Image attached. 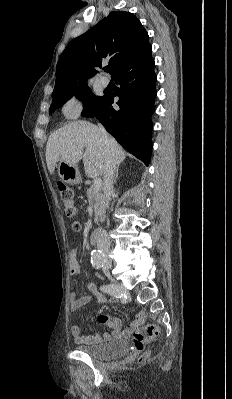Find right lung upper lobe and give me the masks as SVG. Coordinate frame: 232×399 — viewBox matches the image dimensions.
Listing matches in <instances>:
<instances>
[{
	"instance_id": "right-lung-upper-lobe-1",
	"label": "right lung upper lobe",
	"mask_w": 232,
	"mask_h": 399,
	"mask_svg": "<svg viewBox=\"0 0 232 399\" xmlns=\"http://www.w3.org/2000/svg\"><path fill=\"white\" fill-rule=\"evenodd\" d=\"M148 34L139 19L130 12L114 11L83 35L73 39L62 52L52 95L76 88L77 78L92 77L109 60L111 75L121 66L151 53Z\"/></svg>"
}]
</instances>
